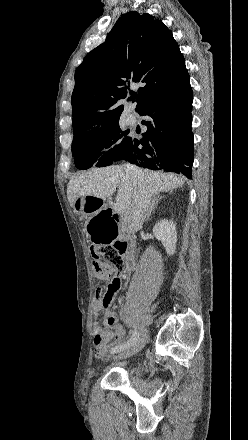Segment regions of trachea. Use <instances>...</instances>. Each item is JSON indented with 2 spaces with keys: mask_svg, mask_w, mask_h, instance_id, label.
Returning <instances> with one entry per match:
<instances>
[{
  "mask_svg": "<svg viewBox=\"0 0 248 440\" xmlns=\"http://www.w3.org/2000/svg\"><path fill=\"white\" fill-rule=\"evenodd\" d=\"M135 98H136V95H133V96H132V99H135Z\"/></svg>",
  "mask_w": 248,
  "mask_h": 440,
  "instance_id": "trachea-1",
  "label": "trachea"
}]
</instances>
